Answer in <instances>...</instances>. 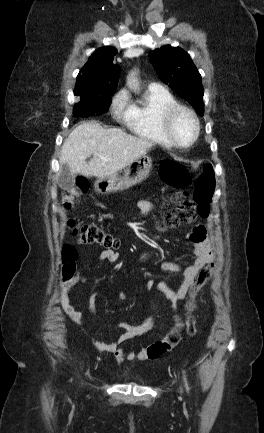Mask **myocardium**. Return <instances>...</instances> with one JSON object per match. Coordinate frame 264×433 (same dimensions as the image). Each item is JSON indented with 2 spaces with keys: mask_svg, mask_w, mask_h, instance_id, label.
Returning <instances> with one entry per match:
<instances>
[{
  "mask_svg": "<svg viewBox=\"0 0 264 433\" xmlns=\"http://www.w3.org/2000/svg\"><path fill=\"white\" fill-rule=\"evenodd\" d=\"M179 113H187L195 124V133L192 140L187 144L180 143L172 132V123ZM162 130L171 145L179 148H187L196 143L201 132V124L197 114L189 107L181 104H176L166 108L161 115Z\"/></svg>",
  "mask_w": 264,
  "mask_h": 433,
  "instance_id": "obj_1",
  "label": "myocardium"
}]
</instances>
